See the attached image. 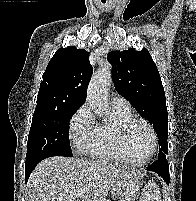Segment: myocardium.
<instances>
[{"label": "myocardium", "mask_w": 196, "mask_h": 201, "mask_svg": "<svg viewBox=\"0 0 196 201\" xmlns=\"http://www.w3.org/2000/svg\"><path fill=\"white\" fill-rule=\"evenodd\" d=\"M136 123H142L143 125H145L148 128V130L151 134V139H152L151 151H150L149 155L147 156V158L142 161H134L131 158V155H130V152L128 149V145H127L128 132L131 129V127ZM117 139H118V144H119L122 154L126 158L127 162L133 166L147 165L153 159V157L155 156V154L157 152V148H158L157 133H156L153 125L149 121H147L146 119L141 118V117H131L128 120L122 122L120 124V126L118 127Z\"/></svg>", "instance_id": "myocardium-1"}]
</instances>
